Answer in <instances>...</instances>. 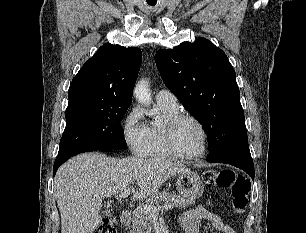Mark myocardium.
Here are the masks:
<instances>
[{
  "label": "myocardium",
  "mask_w": 306,
  "mask_h": 233,
  "mask_svg": "<svg viewBox=\"0 0 306 233\" xmlns=\"http://www.w3.org/2000/svg\"><path fill=\"white\" fill-rule=\"evenodd\" d=\"M185 120H189L194 122L200 129L203 137V146L202 150L198 154H193V155H188L180 152L176 146L175 143V132L177 127L179 126L180 123H182ZM164 139H165V144L170 152V154L176 158L182 159V160H196L200 159L205 156L208 150V133L207 130L204 126V124L199 120L197 117L191 115V114H186V113H180L172 118L168 119L165 122L164 125Z\"/></svg>",
  "instance_id": "f54148a6"
}]
</instances>
